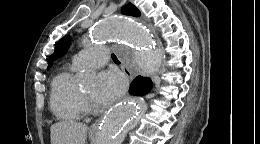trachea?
I'll list each match as a JSON object with an SVG mask.
<instances>
[{
    "mask_svg": "<svg viewBox=\"0 0 260 144\" xmlns=\"http://www.w3.org/2000/svg\"><path fill=\"white\" fill-rule=\"evenodd\" d=\"M111 57L114 62L119 63V60L117 59L116 55L112 54Z\"/></svg>",
    "mask_w": 260,
    "mask_h": 144,
    "instance_id": "trachea-1",
    "label": "trachea"
}]
</instances>
